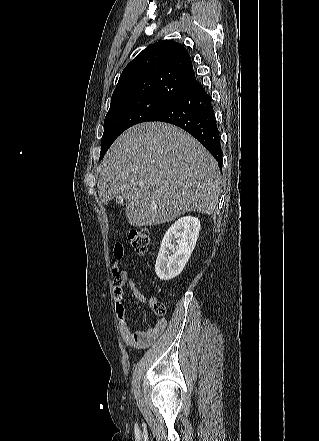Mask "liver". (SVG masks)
<instances>
[{
	"instance_id": "liver-1",
	"label": "liver",
	"mask_w": 319,
	"mask_h": 441,
	"mask_svg": "<svg viewBox=\"0 0 319 441\" xmlns=\"http://www.w3.org/2000/svg\"><path fill=\"white\" fill-rule=\"evenodd\" d=\"M99 198L126 201L136 227L169 222L190 211L213 214L221 173L209 151L181 128L144 122L123 132L106 153L97 184Z\"/></svg>"
}]
</instances>
